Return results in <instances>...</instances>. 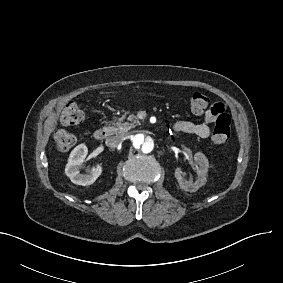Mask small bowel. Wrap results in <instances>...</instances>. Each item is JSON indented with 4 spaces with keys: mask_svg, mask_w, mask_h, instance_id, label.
<instances>
[{
    "mask_svg": "<svg viewBox=\"0 0 283 283\" xmlns=\"http://www.w3.org/2000/svg\"><path fill=\"white\" fill-rule=\"evenodd\" d=\"M231 108V104L226 101L210 103L205 109L204 121L199 123L180 121L175 125V129L180 132L193 134L206 139L210 135V122L217 120L220 114H228L231 111Z\"/></svg>",
    "mask_w": 283,
    "mask_h": 283,
    "instance_id": "small-bowel-1",
    "label": "small bowel"
}]
</instances>
